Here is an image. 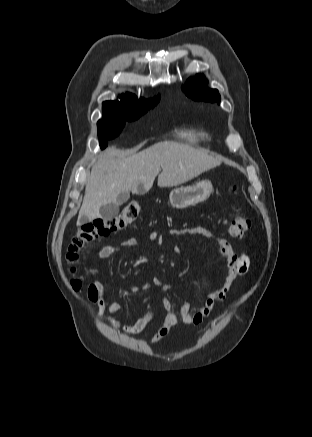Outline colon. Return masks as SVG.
<instances>
[{"mask_svg": "<svg viewBox=\"0 0 312 437\" xmlns=\"http://www.w3.org/2000/svg\"><path fill=\"white\" fill-rule=\"evenodd\" d=\"M235 191L236 187L234 186L233 192ZM140 212V203L137 201H129L117 215L108 218H95L81 226L69 243L67 250L68 261L71 263L76 262L79 258V252L85 244L123 229L136 220ZM250 227V219L242 213H238L236 217L229 222L228 233L233 238H240L248 232ZM71 271L75 273L76 268H72ZM82 285L83 283L79 279L71 280V286L74 290H80Z\"/></svg>", "mask_w": 312, "mask_h": 437, "instance_id": "1", "label": "colon"}]
</instances>
